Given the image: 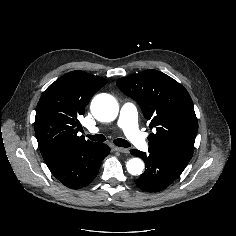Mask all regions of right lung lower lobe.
<instances>
[{
	"label": "right lung lower lobe",
	"instance_id": "obj_1",
	"mask_svg": "<svg viewBox=\"0 0 236 236\" xmlns=\"http://www.w3.org/2000/svg\"><path fill=\"white\" fill-rule=\"evenodd\" d=\"M110 153L106 144L75 145L46 162L51 173L66 187L80 189L97 175L102 160Z\"/></svg>",
	"mask_w": 236,
	"mask_h": 236
}]
</instances>
